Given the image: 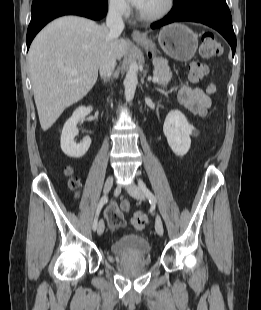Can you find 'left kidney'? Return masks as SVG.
<instances>
[{"label": "left kidney", "mask_w": 261, "mask_h": 310, "mask_svg": "<svg viewBox=\"0 0 261 310\" xmlns=\"http://www.w3.org/2000/svg\"><path fill=\"white\" fill-rule=\"evenodd\" d=\"M163 132L173 153L179 157L187 154L191 146L190 136L196 134L195 128L179 110L168 113Z\"/></svg>", "instance_id": "obj_1"}]
</instances>
